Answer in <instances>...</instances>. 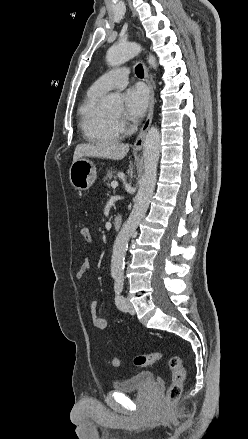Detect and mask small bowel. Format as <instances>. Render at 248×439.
<instances>
[{"label": "small bowel", "mask_w": 248, "mask_h": 439, "mask_svg": "<svg viewBox=\"0 0 248 439\" xmlns=\"http://www.w3.org/2000/svg\"><path fill=\"white\" fill-rule=\"evenodd\" d=\"M90 269H91V261L87 258L80 265L76 273V278L78 280H83L85 275L89 272ZM97 305L98 303L96 300H92L90 302V313H91L93 325L98 329H105L107 327V320L99 316L97 312Z\"/></svg>", "instance_id": "1"}]
</instances>
